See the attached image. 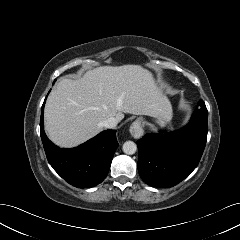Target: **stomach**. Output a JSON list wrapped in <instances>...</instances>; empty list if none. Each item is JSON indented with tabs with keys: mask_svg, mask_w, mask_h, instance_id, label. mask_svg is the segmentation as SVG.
<instances>
[{
	"mask_svg": "<svg viewBox=\"0 0 240 240\" xmlns=\"http://www.w3.org/2000/svg\"><path fill=\"white\" fill-rule=\"evenodd\" d=\"M153 117L158 125L166 126L172 118V110Z\"/></svg>",
	"mask_w": 240,
	"mask_h": 240,
	"instance_id": "1",
	"label": "stomach"
}]
</instances>
